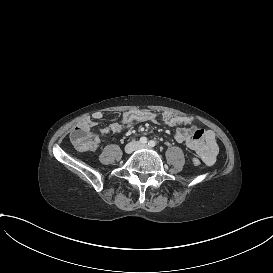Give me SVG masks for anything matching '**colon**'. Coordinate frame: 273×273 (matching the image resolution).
<instances>
[{"label":"colon","mask_w":273,"mask_h":273,"mask_svg":"<svg viewBox=\"0 0 273 273\" xmlns=\"http://www.w3.org/2000/svg\"><path fill=\"white\" fill-rule=\"evenodd\" d=\"M93 131V124L89 120L83 119L76 130L71 131L67 135V140L74 144L80 152H92L96 148V143L89 137Z\"/></svg>","instance_id":"5ec220e1"}]
</instances>
